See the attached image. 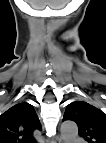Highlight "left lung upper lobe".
Masks as SVG:
<instances>
[{
	"instance_id": "5c2ea615",
	"label": "left lung upper lobe",
	"mask_w": 106,
	"mask_h": 143,
	"mask_svg": "<svg viewBox=\"0 0 106 143\" xmlns=\"http://www.w3.org/2000/svg\"><path fill=\"white\" fill-rule=\"evenodd\" d=\"M72 120L78 126L79 136L88 143H106V114L87 102L70 103L63 120Z\"/></svg>"
}]
</instances>
